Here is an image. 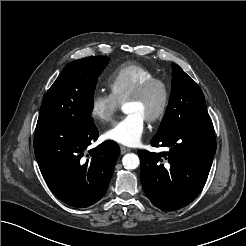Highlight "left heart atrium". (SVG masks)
I'll list each match as a JSON object with an SVG mask.
<instances>
[{
  "label": "left heart atrium",
  "instance_id": "1",
  "mask_svg": "<svg viewBox=\"0 0 246 246\" xmlns=\"http://www.w3.org/2000/svg\"><path fill=\"white\" fill-rule=\"evenodd\" d=\"M145 130V119L138 113H128L105 133L109 140L125 146L140 143Z\"/></svg>",
  "mask_w": 246,
  "mask_h": 246
}]
</instances>
